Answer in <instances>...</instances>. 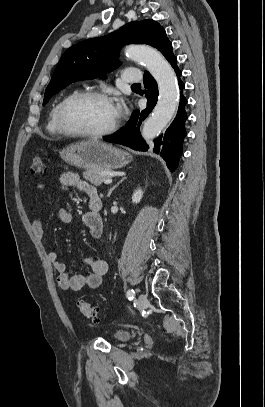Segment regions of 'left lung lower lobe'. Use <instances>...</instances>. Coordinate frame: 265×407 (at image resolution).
<instances>
[{
	"instance_id": "left-lung-lower-lobe-1",
	"label": "left lung lower lobe",
	"mask_w": 265,
	"mask_h": 407,
	"mask_svg": "<svg viewBox=\"0 0 265 407\" xmlns=\"http://www.w3.org/2000/svg\"><path fill=\"white\" fill-rule=\"evenodd\" d=\"M170 64L178 77L179 88L183 90L185 88V84L180 78L182 72L177 66V58L173 59ZM144 84L148 89L146 91V98L148 99L147 108L141 112L139 110H135L126 126L116 134L105 136V141L118 143L138 151H147L149 149L148 145L141 137L140 125L156 105L158 98V87L156 81L148 72H145L144 74ZM186 104L187 99L184 97L183 92H181L178 112L174 121L166 130L164 135L162 134L154 140V144L152 146L153 152L159 154L167 162L171 172H173L178 165L180 156L182 154L183 140L186 136Z\"/></svg>"
}]
</instances>
